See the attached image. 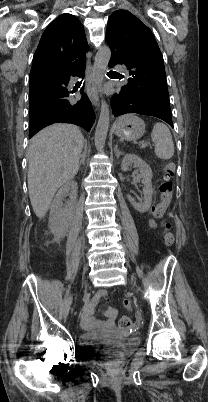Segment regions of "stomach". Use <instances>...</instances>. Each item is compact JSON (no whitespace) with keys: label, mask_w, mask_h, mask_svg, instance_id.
<instances>
[{"label":"stomach","mask_w":208,"mask_h":402,"mask_svg":"<svg viewBox=\"0 0 208 402\" xmlns=\"http://www.w3.org/2000/svg\"><path fill=\"white\" fill-rule=\"evenodd\" d=\"M112 130L122 140L134 142V140L142 138L145 132V124L141 118H137L134 114H125L116 120Z\"/></svg>","instance_id":"obj_1"}]
</instances>
